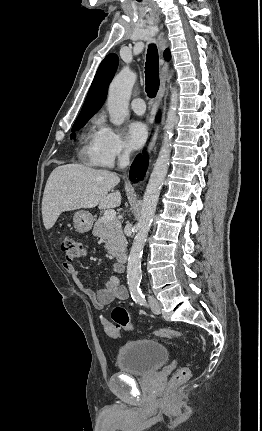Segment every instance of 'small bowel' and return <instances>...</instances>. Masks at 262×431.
<instances>
[{
  "label": "small bowel",
  "instance_id": "small-bowel-1",
  "mask_svg": "<svg viewBox=\"0 0 262 431\" xmlns=\"http://www.w3.org/2000/svg\"><path fill=\"white\" fill-rule=\"evenodd\" d=\"M65 269L71 275L74 284L82 293L89 296L94 307L99 310L104 309L114 301H124L128 298L127 289L124 286L119 285L116 277L108 279L103 283L100 289L94 292L84 285L75 266L66 264ZM115 271L121 272L122 267L117 264L115 266Z\"/></svg>",
  "mask_w": 262,
  "mask_h": 431
}]
</instances>
